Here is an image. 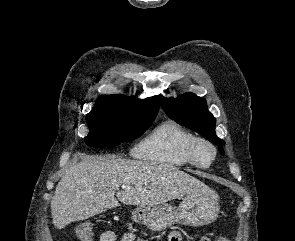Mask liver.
I'll use <instances>...</instances> for the list:
<instances>
[{"mask_svg": "<svg viewBox=\"0 0 295 241\" xmlns=\"http://www.w3.org/2000/svg\"><path fill=\"white\" fill-rule=\"evenodd\" d=\"M126 186L127 188L119 187ZM210 188L177 168L115 156H90L65 170L51 200L53 224L65 228L85 220L119 201L128 205L162 204Z\"/></svg>", "mask_w": 295, "mask_h": 241, "instance_id": "liver-1", "label": "liver"}]
</instances>
